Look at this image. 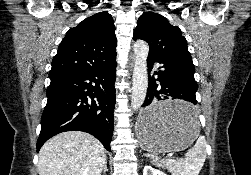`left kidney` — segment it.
Here are the masks:
<instances>
[{"label": "left kidney", "mask_w": 251, "mask_h": 175, "mask_svg": "<svg viewBox=\"0 0 251 175\" xmlns=\"http://www.w3.org/2000/svg\"><path fill=\"white\" fill-rule=\"evenodd\" d=\"M143 175H166V173H164V171H160V169H155L152 165H145Z\"/></svg>", "instance_id": "left-kidney-1"}]
</instances>
